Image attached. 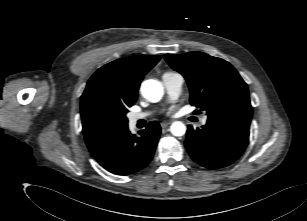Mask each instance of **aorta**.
Instances as JSON below:
<instances>
[{"instance_id":"obj_1","label":"aorta","mask_w":307,"mask_h":221,"mask_svg":"<svg viewBox=\"0 0 307 221\" xmlns=\"http://www.w3.org/2000/svg\"><path fill=\"white\" fill-rule=\"evenodd\" d=\"M141 93L148 101L155 103L162 99L164 89L159 81L149 79L142 83ZM170 131L174 136H183L186 132V126L182 122L176 121L172 123Z\"/></svg>"}]
</instances>
